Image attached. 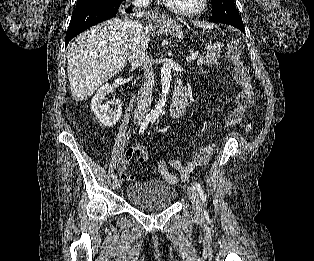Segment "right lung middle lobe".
I'll return each instance as SVG.
<instances>
[{"instance_id":"dd1d6c3e","label":"right lung middle lobe","mask_w":314,"mask_h":261,"mask_svg":"<svg viewBox=\"0 0 314 261\" xmlns=\"http://www.w3.org/2000/svg\"><path fill=\"white\" fill-rule=\"evenodd\" d=\"M96 1H98V0H78L76 8H81L83 6H86V5L93 3V2H96Z\"/></svg>"}]
</instances>
